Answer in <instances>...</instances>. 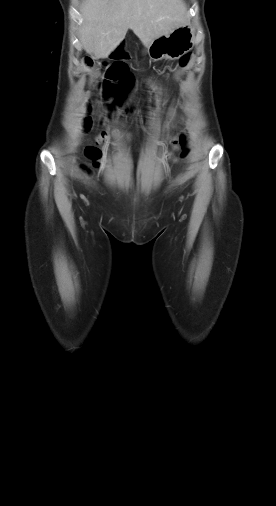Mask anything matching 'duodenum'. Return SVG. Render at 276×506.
I'll use <instances>...</instances> for the list:
<instances>
[{
  "label": "duodenum",
  "mask_w": 276,
  "mask_h": 506,
  "mask_svg": "<svg viewBox=\"0 0 276 506\" xmlns=\"http://www.w3.org/2000/svg\"><path fill=\"white\" fill-rule=\"evenodd\" d=\"M113 56L117 57V58H126V57H130L132 56V51H130V47L128 46H125V45H117L114 47L113 49Z\"/></svg>",
  "instance_id": "410a0bca"
}]
</instances>
